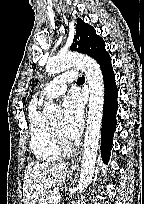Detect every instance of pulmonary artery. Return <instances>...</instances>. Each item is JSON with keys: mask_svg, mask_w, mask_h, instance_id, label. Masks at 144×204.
Wrapping results in <instances>:
<instances>
[{"mask_svg": "<svg viewBox=\"0 0 144 204\" xmlns=\"http://www.w3.org/2000/svg\"><path fill=\"white\" fill-rule=\"evenodd\" d=\"M76 76L75 71H69L56 77L41 90L38 100L43 103L64 94L67 90V83L74 80Z\"/></svg>", "mask_w": 144, "mask_h": 204, "instance_id": "e3ab8cb5", "label": "pulmonary artery"}]
</instances>
